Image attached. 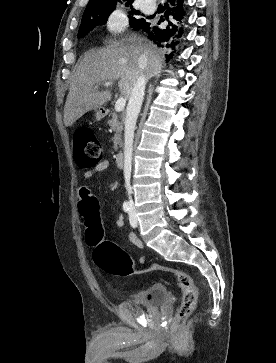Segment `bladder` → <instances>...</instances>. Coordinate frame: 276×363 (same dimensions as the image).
I'll return each instance as SVG.
<instances>
[{
  "instance_id": "1",
  "label": "bladder",
  "mask_w": 276,
  "mask_h": 363,
  "mask_svg": "<svg viewBox=\"0 0 276 363\" xmlns=\"http://www.w3.org/2000/svg\"><path fill=\"white\" fill-rule=\"evenodd\" d=\"M168 289L164 285L153 284L145 290L133 294L130 302L148 308H157L167 302Z\"/></svg>"
}]
</instances>
